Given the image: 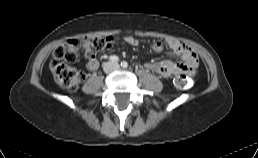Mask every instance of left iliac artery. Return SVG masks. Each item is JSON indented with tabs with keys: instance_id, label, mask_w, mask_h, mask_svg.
I'll use <instances>...</instances> for the list:
<instances>
[{
	"instance_id": "obj_1",
	"label": "left iliac artery",
	"mask_w": 258,
	"mask_h": 158,
	"mask_svg": "<svg viewBox=\"0 0 258 158\" xmlns=\"http://www.w3.org/2000/svg\"><path fill=\"white\" fill-rule=\"evenodd\" d=\"M121 66L123 68H127L128 67V63L126 61H123V62H121Z\"/></svg>"
}]
</instances>
